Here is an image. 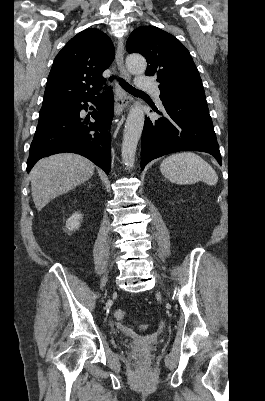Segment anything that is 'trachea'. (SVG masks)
I'll return each instance as SVG.
<instances>
[{
    "mask_svg": "<svg viewBox=\"0 0 265 401\" xmlns=\"http://www.w3.org/2000/svg\"><path fill=\"white\" fill-rule=\"evenodd\" d=\"M113 79H117V81H119V85L124 90H126V92L131 93L132 95L137 94V93H145V92H142V90H137V88L132 87V85H129V83H127L126 80H124L120 77H117L116 75H112L109 78V81H113Z\"/></svg>",
    "mask_w": 265,
    "mask_h": 401,
    "instance_id": "3493384b",
    "label": "trachea"
}]
</instances>
